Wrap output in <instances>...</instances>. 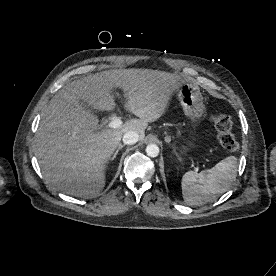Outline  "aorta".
<instances>
[{"mask_svg": "<svg viewBox=\"0 0 276 276\" xmlns=\"http://www.w3.org/2000/svg\"><path fill=\"white\" fill-rule=\"evenodd\" d=\"M146 153L150 157H156L159 154V147L156 144H149L146 147Z\"/></svg>", "mask_w": 276, "mask_h": 276, "instance_id": "1", "label": "aorta"}]
</instances>
